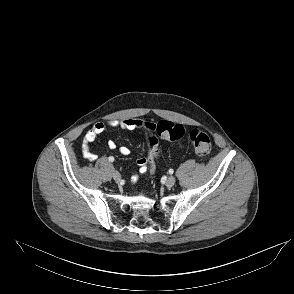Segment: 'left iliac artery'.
Instances as JSON below:
<instances>
[{
  "label": "left iliac artery",
  "mask_w": 294,
  "mask_h": 294,
  "mask_svg": "<svg viewBox=\"0 0 294 294\" xmlns=\"http://www.w3.org/2000/svg\"><path fill=\"white\" fill-rule=\"evenodd\" d=\"M173 172H174V171H173V168H172V167H169V168H168V171H167V175H168V176H171V175L173 174Z\"/></svg>",
  "instance_id": "obj_1"
}]
</instances>
